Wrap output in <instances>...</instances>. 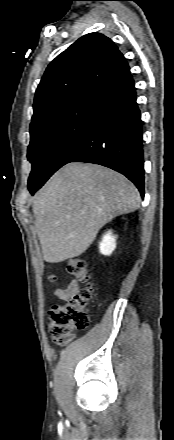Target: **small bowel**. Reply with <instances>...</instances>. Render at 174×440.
<instances>
[{
  "instance_id": "c3829d8e",
  "label": "small bowel",
  "mask_w": 174,
  "mask_h": 440,
  "mask_svg": "<svg viewBox=\"0 0 174 440\" xmlns=\"http://www.w3.org/2000/svg\"><path fill=\"white\" fill-rule=\"evenodd\" d=\"M79 283L76 280H71L66 287L58 288L54 294L58 299L67 300L79 292Z\"/></svg>"
}]
</instances>
